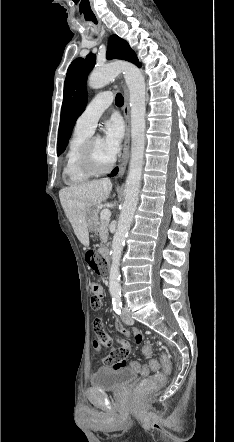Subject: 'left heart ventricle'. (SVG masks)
<instances>
[{"label":"left heart ventricle","mask_w":234,"mask_h":442,"mask_svg":"<svg viewBox=\"0 0 234 442\" xmlns=\"http://www.w3.org/2000/svg\"><path fill=\"white\" fill-rule=\"evenodd\" d=\"M93 153L95 162L99 167L107 166L112 160V158L104 150L102 139L95 138L93 140Z\"/></svg>","instance_id":"left-heart-ventricle-1"}]
</instances>
